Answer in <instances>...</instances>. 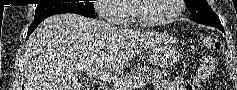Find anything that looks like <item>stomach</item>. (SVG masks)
Returning <instances> with one entry per match:
<instances>
[{
    "mask_svg": "<svg viewBox=\"0 0 237 90\" xmlns=\"http://www.w3.org/2000/svg\"><path fill=\"white\" fill-rule=\"evenodd\" d=\"M148 54L154 65L170 67L178 61L181 51L174 45L160 43L151 46Z\"/></svg>",
    "mask_w": 237,
    "mask_h": 90,
    "instance_id": "stomach-1",
    "label": "stomach"
}]
</instances>
